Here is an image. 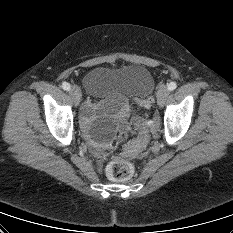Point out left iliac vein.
Returning <instances> with one entry per match:
<instances>
[{
    "instance_id": "obj_1",
    "label": "left iliac vein",
    "mask_w": 233,
    "mask_h": 233,
    "mask_svg": "<svg viewBox=\"0 0 233 233\" xmlns=\"http://www.w3.org/2000/svg\"><path fill=\"white\" fill-rule=\"evenodd\" d=\"M169 94V90L165 85L160 86V88L157 91V103L159 107H162L167 96Z\"/></svg>"
}]
</instances>
